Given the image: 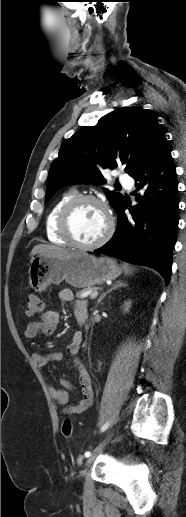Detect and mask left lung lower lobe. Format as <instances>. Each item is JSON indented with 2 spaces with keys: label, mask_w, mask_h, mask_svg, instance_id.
I'll list each match as a JSON object with an SVG mask.
<instances>
[{
  "label": "left lung lower lobe",
  "mask_w": 186,
  "mask_h": 517,
  "mask_svg": "<svg viewBox=\"0 0 186 517\" xmlns=\"http://www.w3.org/2000/svg\"><path fill=\"white\" fill-rule=\"evenodd\" d=\"M136 201L127 217L125 201L116 209L118 226L104 246L95 251L156 269L169 283L172 251L178 228L176 167L166 137L131 175ZM141 190V194L137 191Z\"/></svg>",
  "instance_id": "obj_1"
}]
</instances>
